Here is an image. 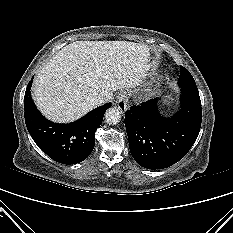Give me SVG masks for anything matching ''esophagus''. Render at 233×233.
<instances>
[{
  "label": "esophagus",
  "mask_w": 233,
  "mask_h": 233,
  "mask_svg": "<svg viewBox=\"0 0 233 233\" xmlns=\"http://www.w3.org/2000/svg\"><path fill=\"white\" fill-rule=\"evenodd\" d=\"M128 98V94L125 91L120 92L117 96L115 105L121 113H124L127 110Z\"/></svg>",
  "instance_id": "obj_1"
}]
</instances>
